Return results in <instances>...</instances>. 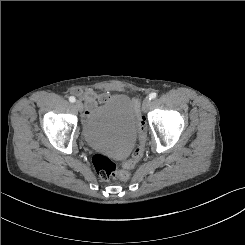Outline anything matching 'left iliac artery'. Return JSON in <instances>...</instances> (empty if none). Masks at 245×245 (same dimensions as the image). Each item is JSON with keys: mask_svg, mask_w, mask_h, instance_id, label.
Masks as SVG:
<instances>
[{"mask_svg": "<svg viewBox=\"0 0 245 245\" xmlns=\"http://www.w3.org/2000/svg\"><path fill=\"white\" fill-rule=\"evenodd\" d=\"M157 97V93L155 92H152L149 94V99L152 100V99H155Z\"/></svg>", "mask_w": 245, "mask_h": 245, "instance_id": "1", "label": "left iliac artery"}]
</instances>
